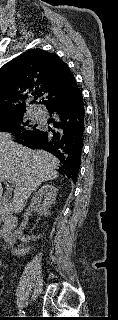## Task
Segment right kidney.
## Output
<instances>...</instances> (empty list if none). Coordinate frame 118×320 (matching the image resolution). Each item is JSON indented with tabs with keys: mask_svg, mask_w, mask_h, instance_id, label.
<instances>
[{
	"mask_svg": "<svg viewBox=\"0 0 118 320\" xmlns=\"http://www.w3.org/2000/svg\"><path fill=\"white\" fill-rule=\"evenodd\" d=\"M57 188L50 184L43 185L32 197L31 203L27 209V214L31 213H37L39 215H50L49 208L54 203L56 196H57ZM26 223L22 222L18 228V230L15 232L18 238L24 242H29L30 239L35 240L38 237H32V238H26L23 235V229L25 227Z\"/></svg>",
	"mask_w": 118,
	"mask_h": 320,
	"instance_id": "right-kidney-1",
	"label": "right kidney"
}]
</instances>
